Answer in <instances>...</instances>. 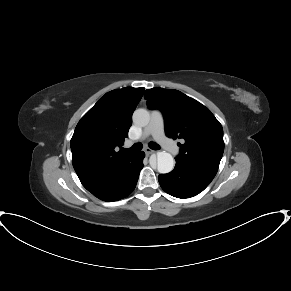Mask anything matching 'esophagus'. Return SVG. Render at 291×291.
I'll list each match as a JSON object with an SVG mask.
<instances>
[{"instance_id": "esophagus-1", "label": "esophagus", "mask_w": 291, "mask_h": 291, "mask_svg": "<svg viewBox=\"0 0 291 291\" xmlns=\"http://www.w3.org/2000/svg\"><path fill=\"white\" fill-rule=\"evenodd\" d=\"M144 152H145L146 155H150V154H153L154 153V151L151 150L150 148H145L144 149Z\"/></svg>"}]
</instances>
